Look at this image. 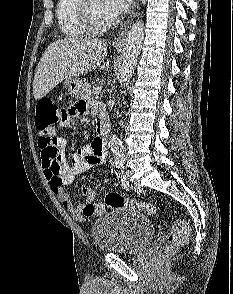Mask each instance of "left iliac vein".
<instances>
[{
  "instance_id": "left-iliac-vein-1",
  "label": "left iliac vein",
  "mask_w": 233,
  "mask_h": 294,
  "mask_svg": "<svg viewBox=\"0 0 233 294\" xmlns=\"http://www.w3.org/2000/svg\"><path fill=\"white\" fill-rule=\"evenodd\" d=\"M125 175H126V178L129 180L132 173H131V171H126ZM131 187L136 192H141L142 191V187L138 183H132Z\"/></svg>"
}]
</instances>
